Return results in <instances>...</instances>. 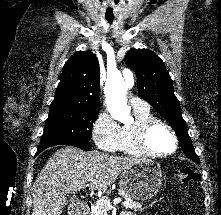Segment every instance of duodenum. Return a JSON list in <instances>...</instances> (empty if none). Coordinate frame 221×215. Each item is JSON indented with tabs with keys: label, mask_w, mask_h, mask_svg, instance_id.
I'll list each match as a JSON object with an SVG mask.
<instances>
[{
	"label": "duodenum",
	"mask_w": 221,
	"mask_h": 215,
	"mask_svg": "<svg viewBox=\"0 0 221 215\" xmlns=\"http://www.w3.org/2000/svg\"><path fill=\"white\" fill-rule=\"evenodd\" d=\"M92 209V203L91 202H87L85 203V205L83 206L82 210L75 213L74 215H89Z\"/></svg>",
	"instance_id": "1"
}]
</instances>
